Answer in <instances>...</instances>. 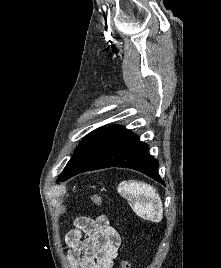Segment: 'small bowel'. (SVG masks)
Listing matches in <instances>:
<instances>
[{
  "label": "small bowel",
  "instance_id": "small-bowel-1",
  "mask_svg": "<svg viewBox=\"0 0 221 268\" xmlns=\"http://www.w3.org/2000/svg\"><path fill=\"white\" fill-rule=\"evenodd\" d=\"M65 241L71 268H112L121 245L120 234L104 214L78 217Z\"/></svg>",
  "mask_w": 221,
  "mask_h": 268
}]
</instances>
